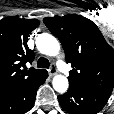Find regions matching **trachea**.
<instances>
[{
    "mask_svg": "<svg viewBox=\"0 0 114 114\" xmlns=\"http://www.w3.org/2000/svg\"><path fill=\"white\" fill-rule=\"evenodd\" d=\"M37 67L38 68H49L50 62L48 61V59L41 57L37 61Z\"/></svg>",
    "mask_w": 114,
    "mask_h": 114,
    "instance_id": "trachea-1",
    "label": "trachea"
}]
</instances>
